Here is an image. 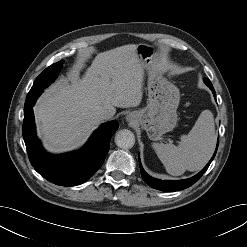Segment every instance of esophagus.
Returning <instances> with one entry per match:
<instances>
[{
	"mask_svg": "<svg viewBox=\"0 0 247 247\" xmlns=\"http://www.w3.org/2000/svg\"><path fill=\"white\" fill-rule=\"evenodd\" d=\"M126 119H127L128 121H131V120H132L131 115H127Z\"/></svg>",
	"mask_w": 247,
	"mask_h": 247,
	"instance_id": "esophagus-1",
	"label": "esophagus"
}]
</instances>
